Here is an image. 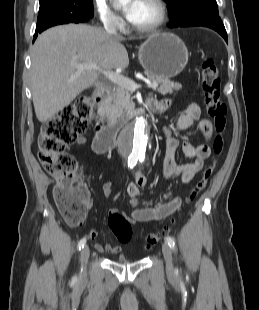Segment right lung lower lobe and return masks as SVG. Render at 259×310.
<instances>
[{
    "instance_id": "98d812e1",
    "label": "right lung lower lobe",
    "mask_w": 259,
    "mask_h": 310,
    "mask_svg": "<svg viewBox=\"0 0 259 310\" xmlns=\"http://www.w3.org/2000/svg\"><path fill=\"white\" fill-rule=\"evenodd\" d=\"M86 21H87V20H86ZM83 22H85V21H83ZM67 23H71V22H69V21H63V20H58V21H53V22H51V23L48 24L47 26H45V27H43V28H41V29H39V30H36L35 35H34V37H33V41H34V40L36 39V37L38 36V33H41L42 31L46 30L47 28L52 27V26H55V25L67 24ZM77 23H79V22H77Z\"/></svg>"
}]
</instances>
